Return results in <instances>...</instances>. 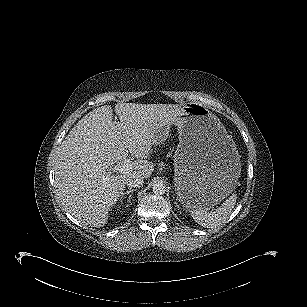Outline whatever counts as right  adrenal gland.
Instances as JSON below:
<instances>
[{
	"label": "right adrenal gland",
	"mask_w": 307,
	"mask_h": 307,
	"mask_svg": "<svg viewBox=\"0 0 307 307\" xmlns=\"http://www.w3.org/2000/svg\"><path fill=\"white\" fill-rule=\"evenodd\" d=\"M135 190H136V189H130L129 191L124 192V193L121 195V197H120V202H121V204H122V202H123L125 196H126V197L128 196V198H127L128 204H126V207H127V206L129 205L130 201H131L132 194H133V192H134Z\"/></svg>",
	"instance_id": "right-adrenal-gland-1"
}]
</instances>
